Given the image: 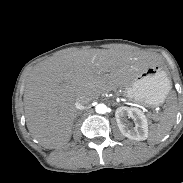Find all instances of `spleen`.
Masks as SVG:
<instances>
[{
	"label": "spleen",
	"instance_id": "spleen-1",
	"mask_svg": "<svg viewBox=\"0 0 183 183\" xmlns=\"http://www.w3.org/2000/svg\"><path fill=\"white\" fill-rule=\"evenodd\" d=\"M145 85V80H139L135 83L133 90H143ZM176 114V97L172 96L169 98V106L164 111L159 123L150 127V137L148 140L149 144H156L160 142L170 132L175 123Z\"/></svg>",
	"mask_w": 183,
	"mask_h": 183
}]
</instances>
